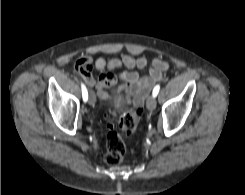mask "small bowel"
<instances>
[{
  "mask_svg": "<svg viewBox=\"0 0 245 195\" xmlns=\"http://www.w3.org/2000/svg\"><path fill=\"white\" fill-rule=\"evenodd\" d=\"M148 65L144 56L106 60L103 57L94 59L92 56H83L75 63V71L85 81L87 86L95 87L97 95L102 99L110 97L107 89L118 84L117 94H128L132 102L139 106L144 102L152 86L162 79V73L168 69V63L160 58H154L146 76H140L136 69H143ZM126 67L129 71L122 72L119 76L111 73L112 70ZM96 69L97 78L92 75Z\"/></svg>",
  "mask_w": 245,
  "mask_h": 195,
  "instance_id": "1",
  "label": "small bowel"
}]
</instances>
